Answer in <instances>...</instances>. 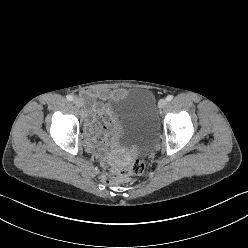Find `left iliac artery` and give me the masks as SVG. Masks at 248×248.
I'll return each instance as SVG.
<instances>
[{"label": "left iliac artery", "mask_w": 248, "mask_h": 248, "mask_svg": "<svg viewBox=\"0 0 248 248\" xmlns=\"http://www.w3.org/2000/svg\"><path fill=\"white\" fill-rule=\"evenodd\" d=\"M166 99H167V101H171L173 99V96L172 95H168Z\"/></svg>", "instance_id": "44dca946"}]
</instances>
